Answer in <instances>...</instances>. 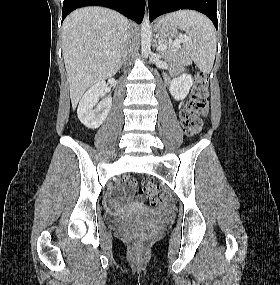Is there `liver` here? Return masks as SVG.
I'll list each match as a JSON object with an SVG mask.
<instances>
[{
	"label": "liver",
	"mask_w": 280,
	"mask_h": 285,
	"mask_svg": "<svg viewBox=\"0 0 280 285\" xmlns=\"http://www.w3.org/2000/svg\"><path fill=\"white\" fill-rule=\"evenodd\" d=\"M129 26L123 15L102 7L80 8L67 16L62 51L73 109L87 89L117 73Z\"/></svg>",
	"instance_id": "liver-1"
}]
</instances>
